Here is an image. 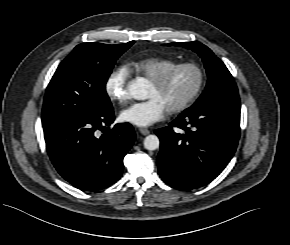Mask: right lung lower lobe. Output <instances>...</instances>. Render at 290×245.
Instances as JSON below:
<instances>
[{"label":"right lung lower lobe","instance_id":"1","mask_svg":"<svg viewBox=\"0 0 290 245\" xmlns=\"http://www.w3.org/2000/svg\"><path fill=\"white\" fill-rule=\"evenodd\" d=\"M113 108L101 114L42 120L48 155L59 174L73 186L96 191L115 183L123 158L135 140L133 127L116 124ZM98 130L103 134L97 137Z\"/></svg>","mask_w":290,"mask_h":245}]
</instances>
